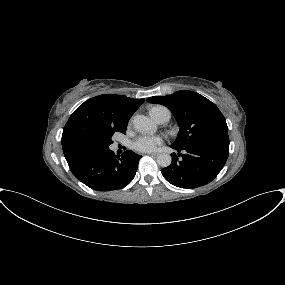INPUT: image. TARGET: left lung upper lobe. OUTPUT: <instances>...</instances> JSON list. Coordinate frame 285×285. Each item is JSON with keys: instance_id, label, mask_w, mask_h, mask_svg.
Returning a JSON list of instances; mask_svg holds the SVG:
<instances>
[{"instance_id": "1", "label": "left lung upper lobe", "mask_w": 285, "mask_h": 285, "mask_svg": "<svg viewBox=\"0 0 285 285\" xmlns=\"http://www.w3.org/2000/svg\"><path fill=\"white\" fill-rule=\"evenodd\" d=\"M148 101L162 104L174 114L180 131L172 147L183 149L203 143L229 147L226 120L217 106L204 96L181 90L171 95L150 97Z\"/></svg>"}]
</instances>
